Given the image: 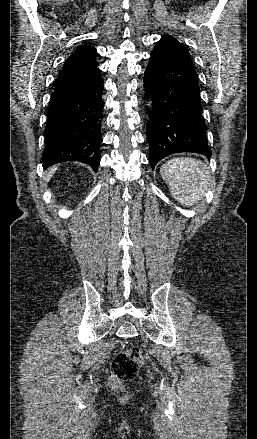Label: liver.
<instances>
[{
    "label": "liver",
    "mask_w": 257,
    "mask_h": 439,
    "mask_svg": "<svg viewBox=\"0 0 257 439\" xmlns=\"http://www.w3.org/2000/svg\"><path fill=\"white\" fill-rule=\"evenodd\" d=\"M55 171H56L55 167L50 168L49 171L47 172L46 180H49L52 177V175L55 173Z\"/></svg>",
    "instance_id": "obj_1"
}]
</instances>
